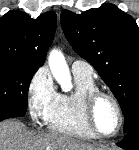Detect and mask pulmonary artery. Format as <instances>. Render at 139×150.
Returning <instances> with one entry per match:
<instances>
[{"mask_svg": "<svg viewBox=\"0 0 139 150\" xmlns=\"http://www.w3.org/2000/svg\"><path fill=\"white\" fill-rule=\"evenodd\" d=\"M71 69L74 76L93 78V68L86 61L75 60L72 63Z\"/></svg>", "mask_w": 139, "mask_h": 150, "instance_id": "obj_1", "label": "pulmonary artery"}]
</instances>
